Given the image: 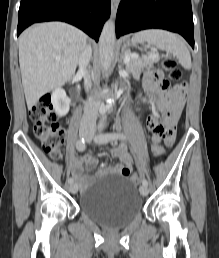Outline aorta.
<instances>
[{"mask_svg": "<svg viewBox=\"0 0 219 258\" xmlns=\"http://www.w3.org/2000/svg\"><path fill=\"white\" fill-rule=\"evenodd\" d=\"M115 40V25L114 22L109 19L105 23L99 39L100 63L104 71H108L111 66L114 57ZM105 121L106 117L103 116L99 123L100 129L104 127Z\"/></svg>", "mask_w": 219, "mask_h": 258, "instance_id": "762f6f07", "label": "aorta"}]
</instances>
